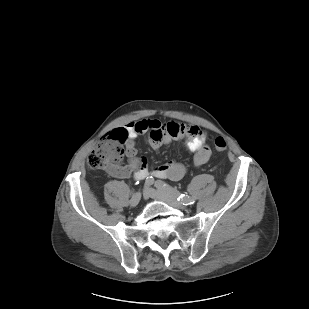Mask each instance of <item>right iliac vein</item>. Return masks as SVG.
I'll return each instance as SVG.
<instances>
[{"label": "right iliac vein", "instance_id": "63e3f726", "mask_svg": "<svg viewBox=\"0 0 309 309\" xmlns=\"http://www.w3.org/2000/svg\"><path fill=\"white\" fill-rule=\"evenodd\" d=\"M141 200V194L139 192L133 194V196L131 197L130 199V206L131 207H136L138 205V203L140 202Z\"/></svg>", "mask_w": 309, "mask_h": 309}]
</instances>
